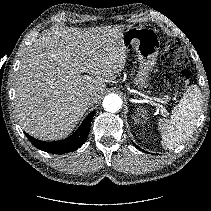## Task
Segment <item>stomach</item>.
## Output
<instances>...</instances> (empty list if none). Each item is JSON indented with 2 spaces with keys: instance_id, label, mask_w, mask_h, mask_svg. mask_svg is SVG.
I'll return each instance as SVG.
<instances>
[{
  "instance_id": "stomach-1",
  "label": "stomach",
  "mask_w": 211,
  "mask_h": 211,
  "mask_svg": "<svg viewBox=\"0 0 211 211\" xmlns=\"http://www.w3.org/2000/svg\"><path fill=\"white\" fill-rule=\"evenodd\" d=\"M126 52L134 49L138 56L139 69L133 80L139 89L147 88L149 74L153 70L160 48L159 37L151 28L129 27L122 36Z\"/></svg>"
}]
</instances>
